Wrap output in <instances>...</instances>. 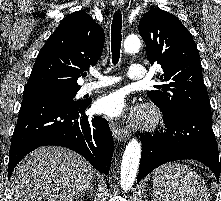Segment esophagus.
Here are the masks:
<instances>
[{"label": "esophagus", "instance_id": "esophagus-1", "mask_svg": "<svg viewBox=\"0 0 221 201\" xmlns=\"http://www.w3.org/2000/svg\"><path fill=\"white\" fill-rule=\"evenodd\" d=\"M124 0H114V6L116 9H121L123 7ZM110 128L112 131V134L115 139L118 141H126L130 134L127 130L120 128L116 123L111 122Z\"/></svg>", "mask_w": 221, "mask_h": 201}]
</instances>
